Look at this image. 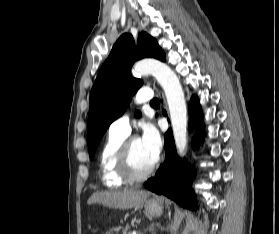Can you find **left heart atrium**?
I'll return each instance as SVG.
<instances>
[{"label":"left heart atrium","instance_id":"obj_1","mask_svg":"<svg viewBox=\"0 0 279 234\" xmlns=\"http://www.w3.org/2000/svg\"><path fill=\"white\" fill-rule=\"evenodd\" d=\"M139 139L150 154L155 159H158L162 147V141L156 127L150 123L144 124L142 127V135Z\"/></svg>","mask_w":279,"mask_h":234}]
</instances>
